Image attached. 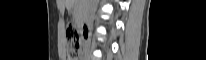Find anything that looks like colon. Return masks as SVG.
<instances>
[{"mask_svg":"<svg viewBox=\"0 0 206 60\" xmlns=\"http://www.w3.org/2000/svg\"><path fill=\"white\" fill-rule=\"evenodd\" d=\"M85 35H80L78 28L74 24L66 27L67 57L68 60H78L83 50Z\"/></svg>","mask_w":206,"mask_h":60,"instance_id":"colon-1","label":"colon"}]
</instances>
